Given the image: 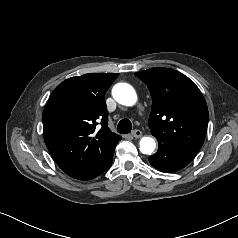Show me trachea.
<instances>
[{
    "mask_svg": "<svg viewBox=\"0 0 238 238\" xmlns=\"http://www.w3.org/2000/svg\"><path fill=\"white\" fill-rule=\"evenodd\" d=\"M132 129V123L129 119H122L117 125V131L121 134L130 133Z\"/></svg>",
    "mask_w": 238,
    "mask_h": 238,
    "instance_id": "3493384b",
    "label": "trachea"
}]
</instances>
